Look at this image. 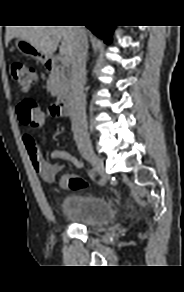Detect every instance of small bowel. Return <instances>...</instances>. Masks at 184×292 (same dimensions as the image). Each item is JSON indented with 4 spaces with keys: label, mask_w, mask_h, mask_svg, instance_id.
I'll return each instance as SVG.
<instances>
[{
    "label": "small bowel",
    "mask_w": 184,
    "mask_h": 292,
    "mask_svg": "<svg viewBox=\"0 0 184 292\" xmlns=\"http://www.w3.org/2000/svg\"><path fill=\"white\" fill-rule=\"evenodd\" d=\"M22 140L29 155L33 170L45 182H56L57 175L63 169L62 164L54 163L53 160L68 161L77 168L82 167V162L66 150H54L50 153L49 159L45 158L41 152L40 146L38 145L33 134L30 131H27L23 134ZM66 177L67 175L63 176L60 180V185L62 187H67Z\"/></svg>",
    "instance_id": "obj_1"
}]
</instances>
